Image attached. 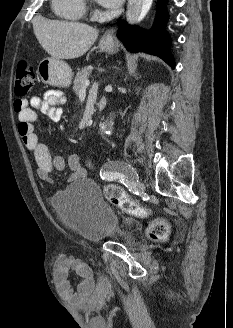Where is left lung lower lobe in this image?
Here are the masks:
<instances>
[{"mask_svg":"<svg viewBox=\"0 0 233 328\" xmlns=\"http://www.w3.org/2000/svg\"><path fill=\"white\" fill-rule=\"evenodd\" d=\"M157 12L155 26L150 32H144L136 26H130L122 22L118 32V38L129 50L156 54L174 68V58L170 53L171 39L167 33L159 31L168 19V14L164 7V0H158Z\"/></svg>","mask_w":233,"mask_h":328,"instance_id":"0a47b994","label":"left lung lower lobe"}]
</instances>
